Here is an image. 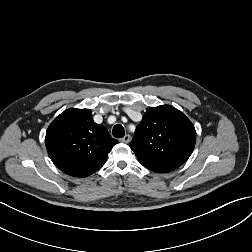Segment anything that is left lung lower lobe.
<instances>
[{"instance_id": "1", "label": "left lung lower lobe", "mask_w": 252, "mask_h": 252, "mask_svg": "<svg viewBox=\"0 0 252 252\" xmlns=\"http://www.w3.org/2000/svg\"><path fill=\"white\" fill-rule=\"evenodd\" d=\"M183 163L179 161H154L151 163H143L142 165L154 172H168L180 167Z\"/></svg>"}]
</instances>
